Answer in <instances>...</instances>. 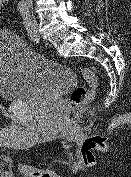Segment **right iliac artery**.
I'll return each instance as SVG.
<instances>
[{
	"mask_svg": "<svg viewBox=\"0 0 131 177\" xmlns=\"http://www.w3.org/2000/svg\"><path fill=\"white\" fill-rule=\"evenodd\" d=\"M26 9H27L26 4H20V5L18 6V10H19L21 13L24 12V11H26Z\"/></svg>",
	"mask_w": 131,
	"mask_h": 177,
	"instance_id": "obj_1",
	"label": "right iliac artery"
}]
</instances>
